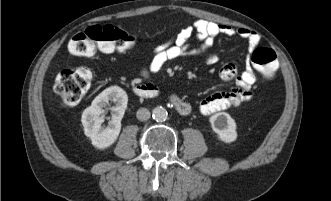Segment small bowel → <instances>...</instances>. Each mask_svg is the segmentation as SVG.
I'll return each mask as SVG.
<instances>
[{"label": "small bowel", "instance_id": "c3829d8e", "mask_svg": "<svg viewBox=\"0 0 331 201\" xmlns=\"http://www.w3.org/2000/svg\"><path fill=\"white\" fill-rule=\"evenodd\" d=\"M193 35L199 42L197 47H192L190 44ZM220 35L238 36L245 39L250 52L257 47L260 41L259 35L252 30L199 19L181 29L170 41L156 47L149 65L141 71V76L148 79L151 74L160 71L169 61L187 56L204 55L208 64L216 63L217 55L209 53V50ZM219 75L225 82L234 80L235 86L230 91L216 92L203 99L198 108L202 115H211L221 110L237 107L252 97V86L256 81V75L249 55L245 68L240 74L237 72L236 65L230 62L222 66ZM169 101L180 115L191 114V105L177 95H171Z\"/></svg>", "mask_w": 331, "mask_h": 201}]
</instances>
